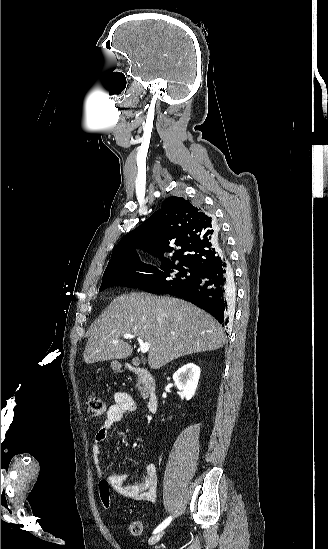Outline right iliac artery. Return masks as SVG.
<instances>
[{"mask_svg":"<svg viewBox=\"0 0 328 549\" xmlns=\"http://www.w3.org/2000/svg\"><path fill=\"white\" fill-rule=\"evenodd\" d=\"M171 520H172V517H171V516L168 517L166 520H164V521L154 530L153 533H157V532L163 530L166 526L169 525V523L171 522Z\"/></svg>","mask_w":328,"mask_h":549,"instance_id":"1","label":"right iliac artery"}]
</instances>
